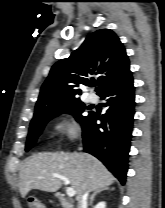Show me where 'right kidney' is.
Listing matches in <instances>:
<instances>
[{
	"label": "right kidney",
	"mask_w": 165,
	"mask_h": 208,
	"mask_svg": "<svg viewBox=\"0 0 165 208\" xmlns=\"http://www.w3.org/2000/svg\"><path fill=\"white\" fill-rule=\"evenodd\" d=\"M94 208H106V203L104 201L99 202Z\"/></svg>",
	"instance_id": "right-kidney-1"
}]
</instances>
